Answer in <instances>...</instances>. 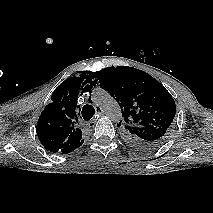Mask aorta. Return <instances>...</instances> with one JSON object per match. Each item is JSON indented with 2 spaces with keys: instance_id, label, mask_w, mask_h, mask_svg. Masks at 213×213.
Segmentation results:
<instances>
[{
  "instance_id": "762f6f07",
  "label": "aorta",
  "mask_w": 213,
  "mask_h": 213,
  "mask_svg": "<svg viewBox=\"0 0 213 213\" xmlns=\"http://www.w3.org/2000/svg\"><path fill=\"white\" fill-rule=\"evenodd\" d=\"M92 100L112 121L118 122L121 119L122 113L118 103L105 90L95 89L92 93Z\"/></svg>"
}]
</instances>
